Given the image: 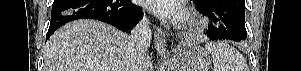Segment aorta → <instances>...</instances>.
I'll return each mask as SVG.
<instances>
[{
	"instance_id": "1",
	"label": "aorta",
	"mask_w": 301,
	"mask_h": 71,
	"mask_svg": "<svg viewBox=\"0 0 301 71\" xmlns=\"http://www.w3.org/2000/svg\"><path fill=\"white\" fill-rule=\"evenodd\" d=\"M159 71H165V66H164V64L160 66Z\"/></svg>"
}]
</instances>
